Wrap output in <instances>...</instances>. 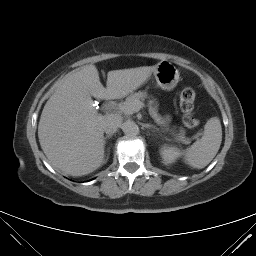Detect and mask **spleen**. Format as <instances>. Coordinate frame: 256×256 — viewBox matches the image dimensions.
<instances>
[{"mask_svg":"<svg viewBox=\"0 0 256 256\" xmlns=\"http://www.w3.org/2000/svg\"><path fill=\"white\" fill-rule=\"evenodd\" d=\"M199 136L200 133H197ZM222 141V128L219 118H210L204 126L201 139L188 147L183 161L192 168H204L217 154Z\"/></svg>","mask_w":256,"mask_h":256,"instance_id":"3e777b00","label":"spleen"}]
</instances>
